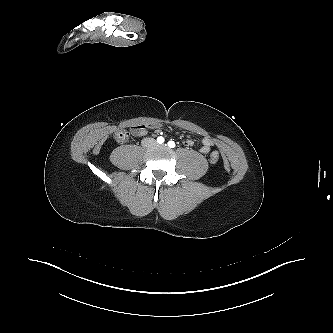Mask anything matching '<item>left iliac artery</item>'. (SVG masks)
I'll return each instance as SVG.
<instances>
[{
	"label": "left iliac artery",
	"mask_w": 333,
	"mask_h": 333,
	"mask_svg": "<svg viewBox=\"0 0 333 333\" xmlns=\"http://www.w3.org/2000/svg\"><path fill=\"white\" fill-rule=\"evenodd\" d=\"M168 146H169L170 148H174V147H175V142H174V141H169V142H168Z\"/></svg>",
	"instance_id": "1"
}]
</instances>
